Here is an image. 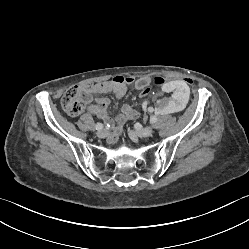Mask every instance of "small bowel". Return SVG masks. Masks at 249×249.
<instances>
[{
	"label": "small bowel",
	"instance_id": "small-bowel-1",
	"mask_svg": "<svg viewBox=\"0 0 249 249\" xmlns=\"http://www.w3.org/2000/svg\"><path fill=\"white\" fill-rule=\"evenodd\" d=\"M180 80H184L188 83L185 79ZM150 83L151 79L148 77H142L135 80L132 77L117 75L110 80L84 85L80 88L85 95L87 110L95 114L113 128L112 134L109 138L110 143L117 140L123 130V125L127 121L136 118L138 116V112L130 105L124 104L121 107L120 114L116 118H111L108 114L110 100L108 98L93 99V95L113 93L116 98L119 99L125 95L129 86H131L134 90L141 91L143 95V91L148 89ZM144 109L149 112L153 111L152 107L148 106L147 103L144 104Z\"/></svg>",
	"mask_w": 249,
	"mask_h": 249
}]
</instances>
